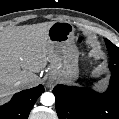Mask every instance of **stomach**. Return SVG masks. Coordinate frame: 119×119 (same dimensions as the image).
I'll return each instance as SVG.
<instances>
[{
  "label": "stomach",
  "mask_w": 119,
  "mask_h": 119,
  "mask_svg": "<svg viewBox=\"0 0 119 119\" xmlns=\"http://www.w3.org/2000/svg\"><path fill=\"white\" fill-rule=\"evenodd\" d=\"M74 30L72 24L65 21L53 22L48 30L51 75L65 81L75 80L79 73Z\"/></svg>",
  "instance_id": "0dacf381"
}]
</instances>
